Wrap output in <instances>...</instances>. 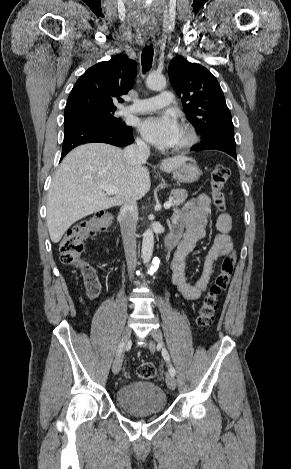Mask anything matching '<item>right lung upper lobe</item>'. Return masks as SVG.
Instances as JSON below:
<instances>
[{
    "label": "right lung upper lobe",
    "instance_id": "1",
    "mask_svg": "<svg viewBox=\"0 0 291 469\" xmlns=\"http://www.w3.org/2000/svg\"><path fill=\"white\" fill-rule=\"evenodd\" d=\"M136 63L124 54L89 68L76 82L65 107V115L93 109H116L133 86Z\"/></svg>",
    "mask_w": 291,
    "mask_h": 469
}]
</instances>
